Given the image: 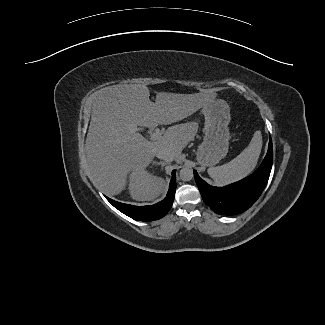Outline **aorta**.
I'll list each match as a JSON object with an SVG mask.
<instances>
[{"label": "aorta", "instance_id": "aorta-1", "mask_svg": "<svg viewBox=\"0 0 325 325\" xmlns=\"http://www.w3.org/2000/svg\"><path fill=\"white\" fill-rule=\"evenodd\" d=\"M179 175L182 181H190L193 178V170L187 167L182 168Z\"/></svg>", "mask_w": 325, "mask_h": 325}]
</instances>
